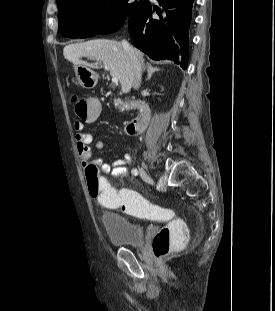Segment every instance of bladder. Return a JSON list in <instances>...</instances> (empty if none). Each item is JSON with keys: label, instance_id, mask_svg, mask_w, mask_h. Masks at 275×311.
<instances>
[{"label": "bladder", "instance_id": "31cf9c89", "mask_svg": "<svg viewBox=\"0 0 275 311\" xmlns=\"http://www.w3.org/2000/svg\"><path fill=\"white\" fill-rule=\"evenodd\" d=\"M101 225L112 245L117 247H139L144 231L126 216L114 211L101 213Z\"/></svg>", "mask_w": 275, "mask_h": 311}]
</instances>
